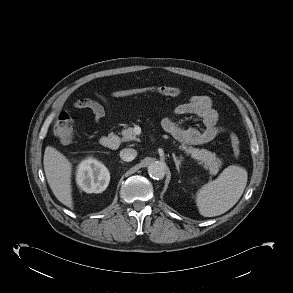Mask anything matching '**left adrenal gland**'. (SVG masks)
I'll list each match as a JSON object with an SVG mask.
<instances>
[{
    "instance_id": "1",
    "label": "left adrenal gland",
    "mask_w": 293,
    "mask_h": 293,
    "mask_svg": "<svg viewBox=\"0 0 293 293\" xmlns=\"http://www.w3.org/2000/svg\"><path fill=\"white\" fill-rule=\"evenodd\" d=\"M172 157H173V160H174V162H175L176 169L178 170V172H180V166H181L182 161H183L182 156H180V158H177V157L175 156V154L172 153Z\"/></svg>"
}]
</instances>
